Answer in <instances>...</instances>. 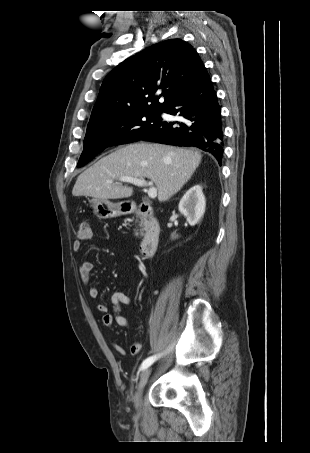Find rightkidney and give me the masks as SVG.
Masks as SVG:
<instances>
[{
  "label": "right kidney",
  "instance_id": "obj_1",
  "mask_svg": "<svg viewBox=\"0 0 310 453\" xmlns=\"http://www.w3.org/2000/svg\"><path fill=\"white\" fill-rule=\"evenodd\" d=\"M205 196L202 192L200 185L192 186L182 197L179 202L178 208L181 214H183L187 222L194 226L199 222L205 212Z\"/></svg>",
  "mask_w": 310,
  "mask_h": 453
}]
</instances>
